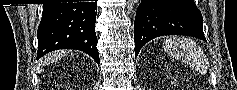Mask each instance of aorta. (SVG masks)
<instances>
[{"label":"aorta","instance_id":"762f6f07","mask_svg":"<svg viewBox=\"0 0 237 90\" xmlns=\"http://www.w3.org/2000/svg\"><path fill=\"white\" fill-rule=\"evenodd\" d=\"M139 0H133V4H138Z\"/></svg>","mask_w":237,"mask_h":90}]
</instances>
